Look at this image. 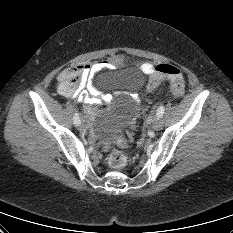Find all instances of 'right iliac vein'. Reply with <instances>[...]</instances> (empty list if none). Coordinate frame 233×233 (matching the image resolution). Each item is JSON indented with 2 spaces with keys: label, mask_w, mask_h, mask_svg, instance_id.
Instances as JSON below:
<instances>
[{
  "label": "right iliac vein",
  "mask_w": 233,
  "mask_h": 233,
  "mask_svg": "<svg viewBox=\"0 0 233 233\" xmlns=\"http://www.w3.org/2000/svg\"><path fill=\"white\" fill-rule=\"evenodd\" d=\"M77 129L78 130H83L84 129V124L83 123H78L77 124Z\"/></svg>",
  "instance_id": "obj_1"
}]
</instances>
